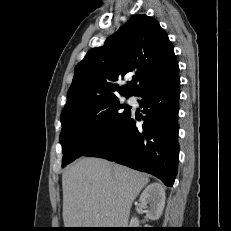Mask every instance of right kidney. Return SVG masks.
<instances>
[{
  "label": "right kidney",
  "mask_w": 231,
  "mask_h": 231,
  "mask_svg": "<svg viewBox=\"0 0 231 231\" xmlns=\"http://www.w3.org/2000/svg\"><path fill=\"white\" fill-rule=\"evenodd\" d=\"M140 202L146 209V216L150 220H158L165 206V190L163 186L159 183H152L147 186L140 196ZM137 225L138 219L132 218L130 228H136Z\"/></svg>",
  "instance_id": "obj_1"
}]
</instances>
